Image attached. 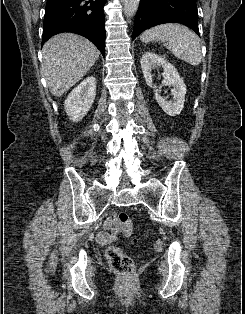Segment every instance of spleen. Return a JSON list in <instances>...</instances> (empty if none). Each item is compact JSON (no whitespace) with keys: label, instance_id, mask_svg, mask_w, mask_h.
I'll list each match as a JSON object with an SVG mask.
<instances>
[{"label":"spleen","instance_id":"obj_1","mask_svg":"<svg viewBox=\"0 0 245 314\" xmlns=\"http://www.w3.org/2000/svg\"><path fill=\"white\" fill-rule=\"evenodd\" d=\"M142 42L161 41L166 43L167 49L177 58L189 63L199 65L202 59L198 36L188 28L167 23L145 30L140 35Z\"/></svg>","mask_w":245,"mask_h":314}]
</instances>
